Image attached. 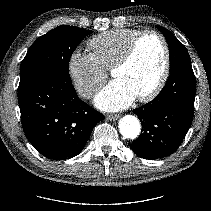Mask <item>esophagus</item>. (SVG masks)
Masks as SVG:
<instances>
[{
	"instance_id": "esophagus-1",
	"label": "esophagus",
	"mask_w": 211,
	"mask_h": 211,
	"mask_svg": "<svg viewBox=\"0 0 211 211\" xmlns=\"http://www.w3.org/2000/svg\"><path fill=\"white\" fill-rule=\"evenodd\" d=\"M106 118L108 120H117L118 118H120V114H109Z\"/></svg>"
}]
</instances>
